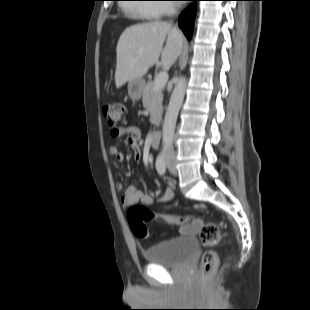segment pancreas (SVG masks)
I'll use <instances>...</instances> for the list:
<instances>
[{
  "label": "pancreas",
  "mask_w": 310,
  "mask_h": 310,
  "mask_svg": "<svg viewBox=\"0 0 310 310\" xmlns=\"http://www.w3.org/2000/svg\"><path fill=\"white\" fill-rule=\"evenodd\" d=\"M154 83L149 81L142 92V102L144 108L150 114V121L154 125H159L162 119V90H154Z\"/></svg>",
  "instance_id": "obj_1"
}]
</instances>
